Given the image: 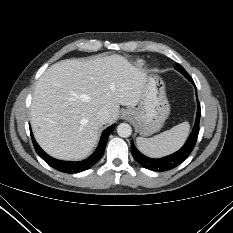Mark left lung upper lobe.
I'll return each instance as SVG.
<instances>
[{"label":"left lung upper lobe","instance_id":"left-lung-upper-lobe-1","mask_svg":"<svg viewBox=\"0 0 233 233\" xmlns=\"http://www.w3.org/2000/svg\"><path fill=\"white\" fill-rule=\"evenodd\" d=\"M175 69L181 72L186 78L190 77L189 74L185 71V69L180 64H176Z\"/></svg>","mask_w":233,"mask_h":233}]
</instances>
